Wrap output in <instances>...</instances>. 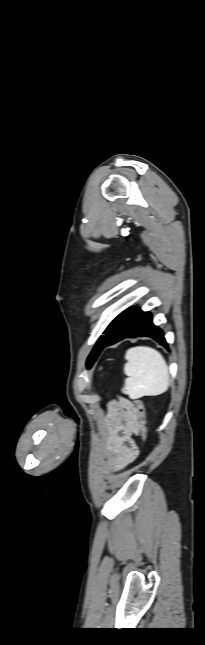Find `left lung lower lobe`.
<instances>
[{"label": "left lung lower lobe", "instance_id": "0a47b994", "mask_svg": "<svg viewBox=\"0 0 205 645\" xmlns=\"http://www.w3.org/2000/svg\"><path fill=\"white\" fill-rule=\"evenodd\" d=\"M130 337H150L160 345L168 347L164 333L152 323V315L149 312L141 311L137 307H130L110 323L99 346L98 355L103 348Z\"/></svg>", "mask_w": 205, "mask_h": 645}]
</instances>
